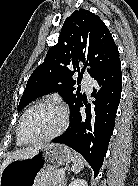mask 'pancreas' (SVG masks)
<instances>
[{"mask_svg": "<svg viewBox=\"0 0 138 186\" xmlns=\"http://www.w3.org/2000/svg\"><path fill=\"white\" fill-rule=\"evenodd\" d=\"M59 170L43 173L37 180V186H63L64 177L58 175Z\"/></svg>", "mask_w": 138, "mask_h": 186, "instance_id": "cf45deb5", "label": "pancreas"}]
</instances>
